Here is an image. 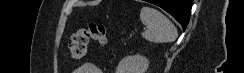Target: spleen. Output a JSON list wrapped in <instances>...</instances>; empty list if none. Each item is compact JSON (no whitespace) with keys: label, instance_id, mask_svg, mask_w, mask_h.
Instances as JSON below:
<instances>
[{"label":"spleen","instance_id":"1","mask_svg":"<svg viewBox=\"0 0 244 73\" xmlns=\"http://www.w3.org/2000/svg\"><path fill=\"white\" fill-rule=\"evenodd\" d=\"M140 21L146 26L142 37L152 43H169L178 37L175 25L160 11L143 7L140 11Z\"/></svg>","mask_w":244,"mask_h":73}]
</instances>
